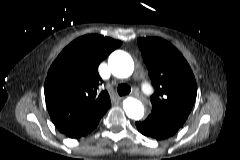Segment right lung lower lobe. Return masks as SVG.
Masks as SVG:
<instances>
[{
	"instance_id": "obj_1",
	"label": "right lung lower lobe",
	"mask_w": 240,
	"mask_h": 160,
	"mask_svg": "<svg viewBox=\"0 0 240 160\" xmlns=\"http://www.w3.org/2000/svg\"><path fill=\"white\" fill-rule=\"evenodd\" d=\"M101 117H98L95 120L90 121L88 123L77 125L63 134L66 135L67 137L73 138V139L85 136L88 133L92 132L97 127Z\"/></svg>"
}]
</instances>
